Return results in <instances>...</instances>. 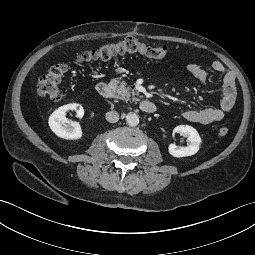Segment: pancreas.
<instances>
[{
  "instance_id": "cf45deb5",
  "label": "pancreas",
  "mask_w": 255,
  "mask_h": 255,
  "mask_svg": "<svg viewBox=\"0 0 255 255\" xmlns=\"http://www.w3.org/2000/svg\"><path fill=\"white\" fill-rule=\"evenodd\" d=\"M110 86L114 88L117 98L125 101H138L139 93L134 92V90L130 87H127V83L122 81H118L117 79H112L110 81ZM141 97V96H139Z\"/></svg>"
}]
</instances>
